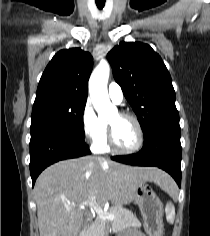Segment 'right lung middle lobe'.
Wrapping results in <instances>:
<instances>
[{
  "instance_id": "1",
  "label": "right lung middle lobe",
  "mask_w": 210,
  "mask_h": 236,
  "mask_svg": "<svg viewBox=\"0 0 210 236\" xmlns=\"http://www.w3.org/2000/svg\"><path fill=\"white\" fill-rule=\"evenodd\" d=\"M86 100L56 97L34 102L31 135L58 130L84 137L83 113Z\"/></svg>"
}]
</instances>
